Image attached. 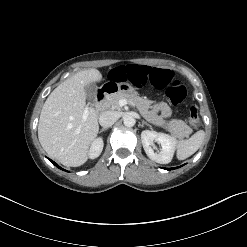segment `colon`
<instances>
[{
  "instance_id": "colon-1",
  "label": "colon",
  "mask_w": 247,
  "mask_h": 247,
  "mask_svg": "<svg viewBox=\"0 0 247 247\" xmlns=\"http://www.w3.org/2000/svg\"><path fill=\"white\" fill-rule=\"evenodd\" d=\"M109 79L114 84L153 86L156 89H166L169 101L177 105L187 96V87L179 80L174 79L173 72L168 69H159L149 65L135 63L114 64L109 69ZM189 122L193 128L200 126V119L196 107L189 110Z\"/></svg>"
}]
</instances>
